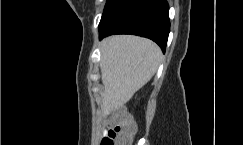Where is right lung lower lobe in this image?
<instances>
[{"label": "right lung lower lobe", "instance_id": "right-lung-lower-lobe-1", "mask_svg": "<svg viewBox=\"0 0 243 145\" xmlns=\"http://www.w3.org/2000/svg\"><path fill=\"white\" fill-rule=\"evenodd\" d=\"M170 32L166 0H107L99 24L100 39L134 34L155 41L165 52Z\"/></svg>", "mask_w": 243, "mask_h": 145}]
</instances>
